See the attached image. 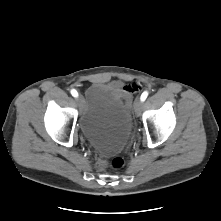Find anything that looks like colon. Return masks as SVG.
I'll return each mask as SVG.
<instances>
[{"label": "colon", "mask_w": 221, "mask_h": 221, "mask_svg": "<svg viewBox=\"0 0 221 221\" xmlns=\"http://www.w3.org/2000/svg\"><path fill=\"white\" fill-rule=\"evenodd\" d=\"M124 92L126 99L130 101L131 95L134 93H137L141 90V86L137 82H130L127 85L124 86ZM125 164V161L123 157L121 156H116L114 157L111 161H105V160H100L97 164V167L99 169H104L108 166H110L113 169H121Z\"/></svg>", "instance_id": "1"}]
</instances>
